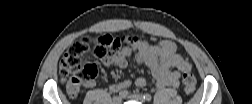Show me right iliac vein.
<instances>
[{
	"label": "right iliac vein",
	"instance_id": "63e3f726",
	"mask_svg": "<svg viewBox=\"0 0 252 104\" xmlns=\"http://www.w3.org/2000/svg\"><path fill=\"white\" fill-rule=\"evenodd\" d=\"M122 102V97L116 96L113 98V103L114 104H120Z\"/></svg>",
	"mask_w": 252,
	"mask_h": 104
}]
</instances>
